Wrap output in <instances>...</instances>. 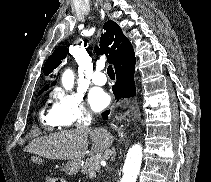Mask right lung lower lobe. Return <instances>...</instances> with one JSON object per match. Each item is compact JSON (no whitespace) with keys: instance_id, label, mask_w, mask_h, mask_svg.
<instances>
[{"instance_id":"right-lung-lower-lobe-1","label":"right lung lower lobe","mask_w":211,"mask_h":182,"mask_svg":"<svg viewBox=\"0 0 211 182\" xmlns=\"http://www.w3.org/2000/svg\"><path fill=\"white\" fill-rule=\"evenodd\" d=\"M135 54L131 43L128 41L124 52L119 57L117 63L115 64L116 72V83L112 87L113 93L117 100L130 98L135 96V82H134V72H135ZM110 110L102 113L103 119H108V114Z\"/></svg>"}]
</instances>
